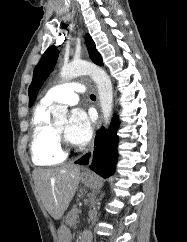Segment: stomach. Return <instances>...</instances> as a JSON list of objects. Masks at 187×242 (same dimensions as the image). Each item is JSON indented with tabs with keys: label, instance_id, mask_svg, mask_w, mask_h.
<instances>
[{
	"label": "stomach",
	"instance_id": "0dacf381",
	"mask_svg": "<svg viewBox=\"0 0 187 242\" xmlns=\"http://www.w3.org/2000/svg\"><path fill=\"white\" fill-rule=\"evenodd\" d=\"M82 183L89 188L97 189L101 186L99 178L92 173H83L80 177ZM59 242H71L72 233L63 220L58 229Z\"/></svg>",
	"mask_w": 187,
	"mask_h": 242
}]
</instances>
